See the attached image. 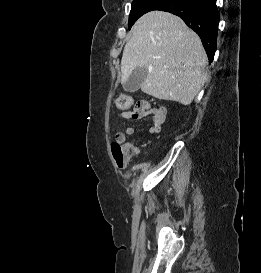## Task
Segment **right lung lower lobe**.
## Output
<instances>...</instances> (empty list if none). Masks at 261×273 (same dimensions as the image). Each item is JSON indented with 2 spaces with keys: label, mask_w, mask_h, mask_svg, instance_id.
Here are the masks:
<instances>
[{
  "label": "right lung lower lobe",
  "mask_w": 261,
  "mask_h": 273,
  "mask_svg": "<svg viewBox=\"0 0 261 273\" xmlns=\"http://www.w3.org/2000/svg\"><path fill=\"white\" fill-rule=\"evenodd\" d=\"M164 2L161 10L179 16L200 36L209 62H212L216 51L219 23L216 0H165Z\"/></svg>",
  "instance_id": "1"
}]
</instances>
